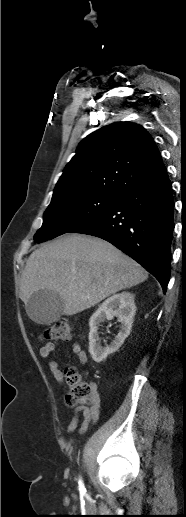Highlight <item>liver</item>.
<instances>
[{
    "instance_id": "obj_1",
    "label": "liver",
    "mask_w": 186,
    "mask_h": 517,
    "mask_svg": "<svg viewBox=\"0 0 186 517\" xmlns=\"http://www.w3.org/2000/svg\"><path fill=\"white\" fill-rule=\"evenodd\" d=\"M148 272L109 242L67 234L36 249L21 276L26 304L40 290L63 299V314L82 312L116 292L144 282Z\"/></svg>"
}]
</instances>
